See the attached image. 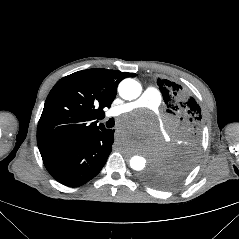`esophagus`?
<instances>
[{"mask_svg": "<svg viewBox=\"0 0 239 239\" xmlns=\"http://www.w3.org/2000/svg\"><path fill=\"white\" fill-rule=\"evenodd\" d=\"M112 138H113L114 140H119V139L121 138V133H120L119 131H114V132L112 133Z\"/></svg>", "mask_w": 239, "mask_h": 239, "instance_id": "1", "label": "esophagus"}]
</instances>
